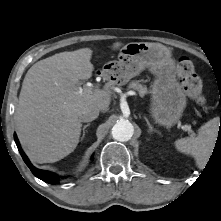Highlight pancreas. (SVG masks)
Segmentation results:
<instances>
[{
    "label": "pancreas",
    "instance_id": "1",
    "mask_svg": "<svg viewBox=\"0 0 221 221\" xmlns=\"http://www.w3.org/2000/svg\"><path fill=\"white\" fill-rule=\"evenodd\" d=\"M128 87L136 90L141 97L145 96L148 92L146 86H143L138 81H132Z\"/></svg>",
    "mask_w": 221,
    "mask_h": 221
}]
</instances>
